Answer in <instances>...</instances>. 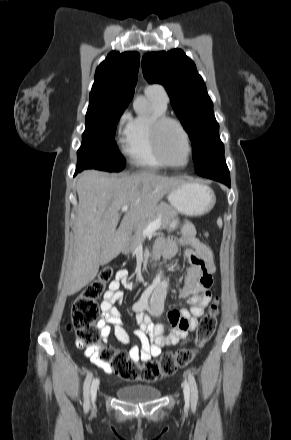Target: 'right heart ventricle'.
<instances>
[{"label": "right heart ventricle", "mask_w": 291, "mask_h": 440, "mask_svg": "<svg viewBox=\"0 0 291 440\" xmlns=\"http://www.w3.org/2000/svg\"><path fill=\"white\" fill-rule=\"evenodd\" d=\"M148 99L151 105V112L146 116L137 115L131 118L130 132L125 142L124 153L133 166L162 168L165 165L155 154L149 123L152 117L165 116L166 105L151 96H148Z\"/></svg>", "instance_id": "obj_1"}]
</instances>
